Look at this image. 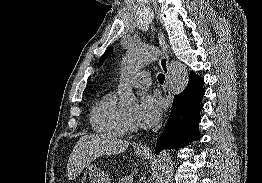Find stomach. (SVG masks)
I'll return each mask as SVG.
<instances>
[{
    "mask_svg": "<svg viewBox=\"0 0 262 183\" xmlns=\"http://www.w3.org/2000/svg\"><path fill=\"white\" fill-rule=\"evenodd\" d=\"M137 156L145 159L148 157L149 153L147 152H136ZM81 183H111L109 176L97 168L96 166L90 165L86 167Z\"/></svg>",
    "mask_w": 262,
    "mask_h": 183,
    "instance_id": "stomach-1",
    "label": "stomach"
}]
</instances>
